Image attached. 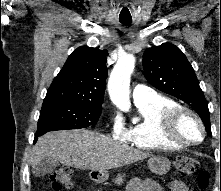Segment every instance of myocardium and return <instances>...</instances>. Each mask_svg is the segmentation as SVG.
<instances>
[{
    "instance_id": "myocardium-1",
    "label": "myocardium",
    "mask_w": 221,
    "mask_h": 191,
    "mask_svg": "<svg viewBox=\"0 0 221 191\" xmlns=\"http://www.w3.org/2000/svg\"><path fill=\"white\" fill-rule=\"evenodd\" d=\"M185 118L191 119L197 125L200 132L198 140H189L182 135L180 124ZM162 135L171 143L194 146L202 143L205 139V127L200 117L193 110L177 105L164 112L162 117Z\"/></svg>"
}]
</instances>
